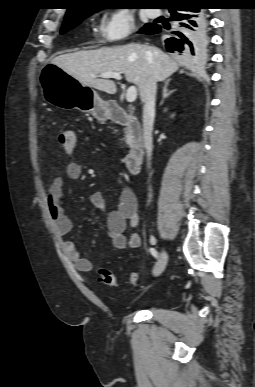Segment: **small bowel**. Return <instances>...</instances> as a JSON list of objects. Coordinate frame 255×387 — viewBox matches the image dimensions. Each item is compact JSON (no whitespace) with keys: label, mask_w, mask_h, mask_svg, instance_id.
<instances>
[{"label":"small bowel","mask_w":255,"mask_h":387,"mask_svg":"<svg viewBox=\"0 0 255 387\" xmlns=\"http://www.w3.org/2000/svg\"><path fill=\"white\" fill-rule=\"evenodd\" d=\"M81 174L82 167L80 164L75 162L68 163L61 174L54 177L49 186L47 195L48 213L56 233L60 236L66 235L72 228V222L60 204L65 181L78 180ZM89 200L95 209L105 213L106 233L115 249H135L140 246L141 238L139 234L135 232L129 235L125 234L128 227L134 228L139 222L137 200L133 192L129 189L123 190L116 208L111 211H106V202L102 193H91ZM63 247L79 271L89 272L93 269L92 261L84 257L74 243L65 242Z\"/></svg>","instance_id":"c3829d8e"}]
</instances>
